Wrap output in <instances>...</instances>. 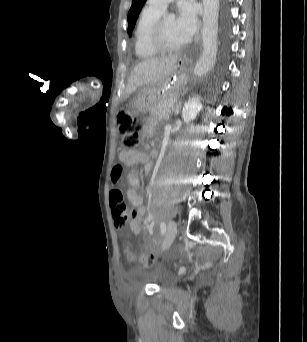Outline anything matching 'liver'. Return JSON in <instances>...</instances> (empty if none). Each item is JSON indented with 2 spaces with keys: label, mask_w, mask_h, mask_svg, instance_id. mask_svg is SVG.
<instances>
[{
  "label": "liver",
  "mask_w": 307,
  "mask_h": 342,
  "mask_svg": "<svg viewBox=\"0 0 307 342\" xmlns=\"http://www.w3.org/2000/svg\"><path fill=\"white\" fill-rule=\"evenodd\" d=\"M178 56L163 58H147L134 66L124 90L125 98H129L141 86H159L173 72Z\"/></svg>",
  "instance_id": "liver-1"
}]
</instances>
